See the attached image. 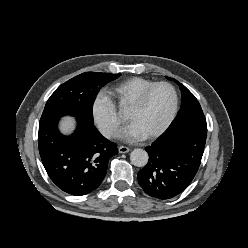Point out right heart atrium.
I'll return each mask as SVG.
<instances>
[{
  "label": "right heart atrium",
  "instance_id": "1",
  "mask_svg": "<svg viewBox=\"0 0 248 248\" xmlns=\"http://www.w3.org/2000/svg\"><path fill=\"white\" fill-rule=\"evenodd\" d=\"M93 121L99 131L107 138H115L123 125L117 106L106 92L98 93L91 107Z\"/></svg>",
  "mask_w": 248,
  "mask_h": 248
}]
</instances>
